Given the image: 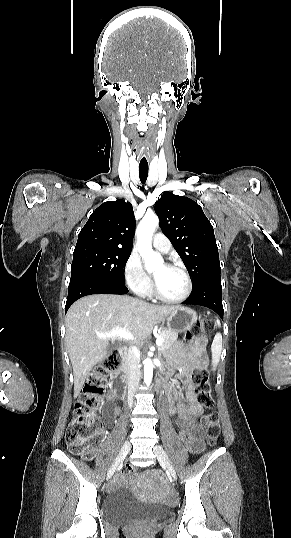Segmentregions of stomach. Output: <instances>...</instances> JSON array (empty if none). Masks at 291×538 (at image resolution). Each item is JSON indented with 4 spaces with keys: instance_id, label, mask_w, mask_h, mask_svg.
<instances>
[{
    "instance_id": "1",
    "label": "stomach",
    "mask_w": 291,
    "mask_h": 538,
    "mask_svg": "<svg viewBox=\"0 0 291 538\" xmlns=\"http://www.w3.org/2000/svg\"><path fill=\"white\" fill-rule=\"evenodd\" d=\"M197 318V314L193 310L178 307L166 317V321L168 329L177 334L189 330Z\"/></svg>"
}]
</instances>
